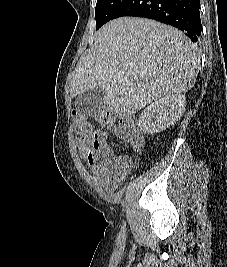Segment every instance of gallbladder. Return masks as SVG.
<instances>
[{
    "instance_id": "obj_1",
    "label": "gallbladder",
    "mask_w": 227,
    "mask_h": 267,
    "mask_svg": "<svg viewBox=\"0 0 227 267\" xmlns=\"http://www.w3.org/2000/svg\"><path fill=\"white\" fill-rule=\"evenodd\" d=\"M104 91L101 88L89 89L76 98V108L83 114L96 115L104 107Z\"/></svg>"
}]
</instances>
